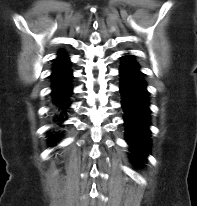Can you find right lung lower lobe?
<instances>
[{
	"mask_svg": "<svg viewBox=\"0 0 197 206\" xmlns=\"http://www.w3.org/2000/svg\"><path fill=\"white\" fill-rule=\"evenodd\" d=\"M72 77L73 76L69 67V62L64 68L51 76V95L54 104V119L55 122H57L60 126H63L62 122L67 119L65 115L67 114L71 104L69 97L72 94ZM60 136L61 134L59 133H50L49 139L52 144H55Z\"/></svg>",
	"mask_w": 197,
	"mask_h": 206,
	"instance_id": "98d812e1",
	"label": "right lung lower lobe"
}]
</instances>
